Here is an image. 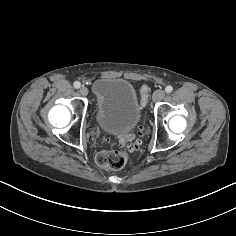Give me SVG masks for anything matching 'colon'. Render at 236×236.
I'll use <instances>...</instances> for the list:
<instances>
[{
  "label": "colon",
  "instance_id": "1",
  "mask_svg": "<svg viewBox=\"0 0 236 236\" xmlns=\"http://www.w3.org/2000/svg\"><path fill=\"white\" fill-rule=\"evenodd\" d=\"M140 105L145 107L148 101L149 88L146 85H143L140 88ZM141 141H138L137 145ZM129 154L124 146H120L118 149L101 151L95 156V163L104 169L107 170H119L125 167L128 163Z\"/></svg>",
  "mask_w": 236,
  "mask_h": 236
}]
</instances>
